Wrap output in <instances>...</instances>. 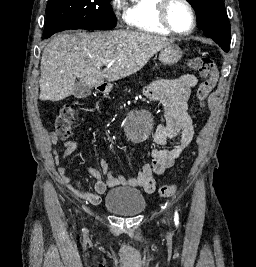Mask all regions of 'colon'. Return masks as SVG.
Masks as SVG:
<instances>
[{
  "instance_id": "obj_1",
  "label": "colon",
  "mask_w": 256,
  "mask_h": 267,
  "mask_svg": "<svg viewBox=\"0 0 256 267\" xmlns=\"http://www.w3.org/2000/svg\"><path fill=\"white\" fill-rule=\"evenodd\" d=\"M190 67L204 77V81L196 90V102L202 107L206 98L213 92L217 78L218 69L216 62L211 57L199 56L189 60ZM77 110L74 106L68 105L60 108L54 120V128L60 137H67L70 134V123ZM177 191L175 185L165 184L158 188L162 197L173 196Z\"/></svg>"
}]
</instances>
